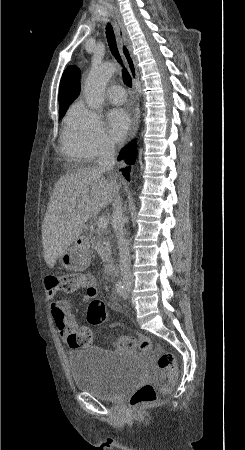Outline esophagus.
Segmentation results:
<instances>
[{
	"mask_svg": "<svg viewBox=\"0 0 245 450\" xmlns=\"http://www.w3.org/2000/svg\"><path fill=\"white\" fill-rule=\"evenodd\" d=\"M113 20H114V27H115L117 42H118L121 54L127 64L130 75L132 77L133 93L137 100L134 118H133V124H132V128H131L130 136H129V141H130L135 136L136 131L139 126V121H140V109H139V104H138V94H137V88H136V81L138 80L139 75L137 72V65H136V62H135V59H134V56L132 53V47H131L130 41L128 39V34L126 31V28L124 26L122 18L120 17V14L118 13L117 10H115V12H114Z\"/></svg>",
	"mask_w": 245,
	"mask_h": 450,
	"instance_id": "esophagus-1",
	"label": "esophagus"
}]
</instances>
